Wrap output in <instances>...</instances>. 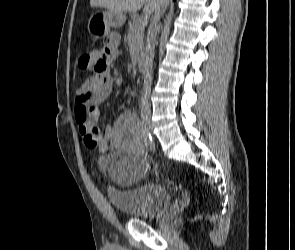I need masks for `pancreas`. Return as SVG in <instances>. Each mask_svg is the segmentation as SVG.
Segmentation results:
<instances>
[{
  "label": "pancreas",
  "mask_w": 295,
  "mask_h": 250,
  "mask_svg": "<svg viewBox=\"0 0 295 250\" xmlns=\"http://www.w3.org/2000/svg\"><path fill=\"white\" fill-rule=\"evenodd\" d=\"M140 17L134 16L131 21L128 22L129 25V32H132L135 34L137 43L136 47L137 50L140 53H143L144 51V30H145V24L139 23Z\"/></svg>",
  "instance_id": "1"
}]
</instances>
